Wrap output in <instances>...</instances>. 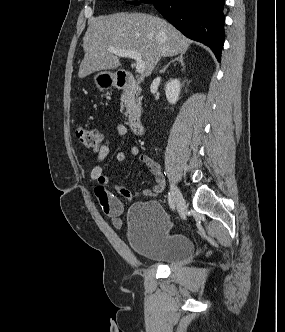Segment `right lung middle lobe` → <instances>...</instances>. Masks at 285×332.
Segmentation results:
<instances>
[{
    "instance_id": "right-lung-middle-lobe-1",
    "label": "right lung middle lobe",
    "mask_w": 285,
    "mask_h": 332,
    "mask_svg": "<svg viewBox=\"0 0 285 332\" xmlns=\"http://www.w3.org/2000/svg\"><path fill=\"white\" fill-rule=\"evenodd\" d=\"M145 3H150V2H152L153 0H143ZM134 5H138L139 3L138 2H134L133 3Z\"/></svg>"
}]
</instances>
